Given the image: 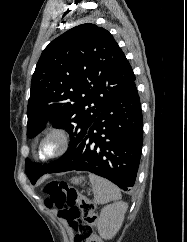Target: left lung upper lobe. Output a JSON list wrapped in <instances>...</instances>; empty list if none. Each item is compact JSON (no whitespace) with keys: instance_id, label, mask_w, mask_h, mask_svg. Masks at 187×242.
I'll return each mask as SVG.
<instances>
[{"instance_id":"left-lung-upper-lobe-1","label":"left lung upper lobe","mask_w":187,"mask_h":242,"mask_svg":"<svg viewBox=\"0 0 187 242\" xmlns=\"http://www.w3.org/2000/svg\"><path fill=\"white\" fill-rule=\"evenodd\" d=\"M135 80L132 67L113 36L94 24L76 26L42 52L31 81L27 137L48 122L70 134L66 153L41 165L26 158L32 180L50 172L79 145L103 108Z\"/></svg>"}]
</instances>
